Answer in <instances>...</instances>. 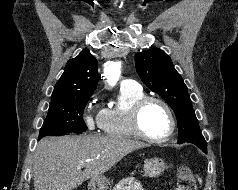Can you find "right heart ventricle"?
<instances>
[{"mask_svg":"<svg viewBox=\"0 0 238 190\" xmlns=\"http://www.w3.org/2000/svg\"><path fill=\"white\" fill-rule=\"evenodd\" d=\"M145 96L143 90L121 89L119 104L115 108H106L102 113V131L114 138L136 139L130 124V111L136 101Z\"/></svg>","mask_w":238,"mask_h":190,"instance_id":"e07e8e85","label":"right heart ventricle"}]
</instances>
